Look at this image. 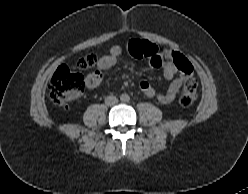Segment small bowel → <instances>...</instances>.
Segmentation results:
<instances>
[{
    "label": "small bowel",
    "mask_w": 248,
    "mask_h": 194,
    "mask_svg": "<svg viewBox=\"0 0 248 194\" xmlns=\"http://www.w3.org/2000/svg\"><path fill=\"white\" fill-rule=\"evenodd\" d=\"M129 44L126 48L128 51ZM124 48L121 46H113L109 54L103 55L98 62L97 70L95 73L89 75L86 79V86L89 89H95L99 87L103 82L102 72L113 67L120 56L123 54ZM175 53H171L167 50H159L157 54L151 58V64L162 69L163 75L167 79H172L168 88L164 91L156 90L148 80L141 79L139 87L144 95L149 98L157 100L159 103L168 104L172 102L183 83L185 82L189 73L186 72V67L191 68L190 62L183 57L182 62H177L174 57ZM179 75L176 76V74Z\"/></svg>",
    "instance_id": "small-bowel-1"
}]
</instances>
